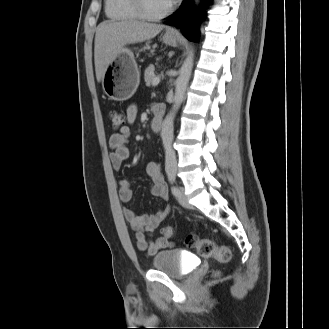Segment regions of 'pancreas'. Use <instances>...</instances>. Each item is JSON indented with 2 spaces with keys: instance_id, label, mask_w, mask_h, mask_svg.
I'll return each instance as SVG.
<instances>
[{
  "instance_id": "pancreas-1",
  "label": "pancreas",
  "mask_w": 329,
  "mask_h": 329,
  "mask_svg": "<svg viewBox=\"0 0 329 329\" xmlns=\"http://www.w3.org/2000/svg\"><path fill=\"white\" fill-rule=\"evenodd\" d=\"M154 78H155L154 66L150 65L149 67H147L145 69V72H144V80L146 82V85L150 86Z\"/></svg>"
}]
</instances>
